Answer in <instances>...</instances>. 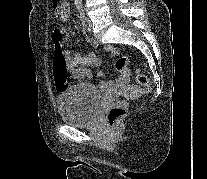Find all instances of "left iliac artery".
Here are the masks:
<instances>
[{
  "instance_id": "obj_1",
  "label": "left iliac artery",
  "mask_w": 207,
  "mask_h": 179,
  "mask_svg": "<svg viewBox=\"0 0 207 179\" xmlns=\"http://www.w3.org/2000/svg\"><path fill=\"white\" fill-rule=\"evenodd\" d=\"M77 9H78V12H79V14H80V19H81V21H82V24H83L84 26H86V25H87V21H86V17H85V14H84V10H83L82 5H78V6H77Z\"/></svg>"
}]
</instances>
